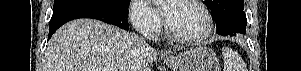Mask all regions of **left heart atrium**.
<instances>
[{"label":"left heart atrium","instance_id":"39dd6f15","mask_svg":"<svg viewBox=\"0 0 301 71\" xmlns=\"http://www.w3.org/2000/svg\"><path fill=\"white\" fill-rule=\"evenodd\" d=\"M156 3L166 20H170L176 6L177 0H153Z\"/></svg>","mask_w":301,"mask_h":71}]
</instances>
